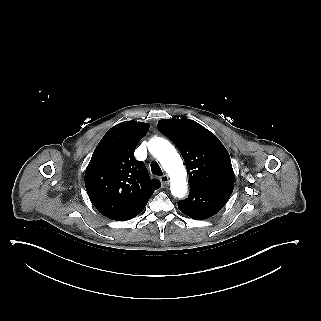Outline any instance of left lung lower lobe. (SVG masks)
I'll return each instance as SVG.
<instances>
[{
  "mask_svg": "<svg viewBox=\"0 0 321 321\" xmlns=\"http://www.w3.org/2000/svg\"><path fill=\"white\" fill-rule=\"evenodd\" d=\"M234 185H211L191 188L189 198L178 202L185 215L203 220L219 212L228 201Z\"/></svg>",
  "mask_w": 321,
  "mask_h": 321,
  "instance_id": "left-lung-lower-lobe-1",
  "label": "left lung lower lobe"
}]
</instances>
